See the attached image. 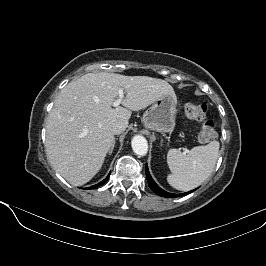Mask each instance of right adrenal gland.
<instances>
[{
    "mask_svg": "<svg viewBox=\"0 0 266 266\" xmlns=\"http://www.w3.org/2000/svg\"><path fill=\"white\" fill-rule=\"evenodd\" d=\"M115 139H114V142H113V145H112V147H111V149H110V151H109V154L111 155V153L113 152V150H114V147H115Z\"/></svg>",
    "mask_w": 266,
    "mask_h": 266,
    "instance_id": "2a0ac1e0",
    "label": "right adrenal gland"
}]
</instances>
